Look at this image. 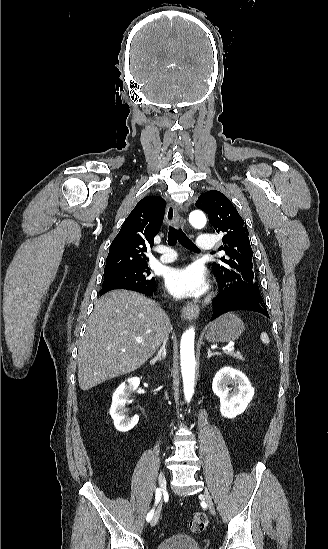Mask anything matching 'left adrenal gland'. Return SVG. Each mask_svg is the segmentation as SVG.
<instances>
[{"label": "left adrenal gland", "instance_id": "a2214340", "mask_svg": "<svg viewBox=\"0 0 328 549\" xmlns=\"http://www.w3.org/2000/svg\"><path fill=\"white\" fill-rule=\"evenodd\" d=\"M207 353H208L207 359H210V357H212V355H217V353H212L211 349H207Z\"/></svg>", "mask_w": 328, "mask_h": 549}]
</instances>
